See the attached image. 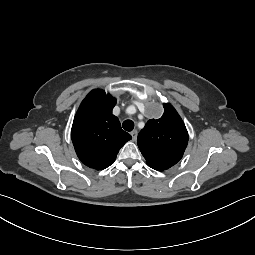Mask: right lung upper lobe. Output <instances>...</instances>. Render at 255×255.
Returning a JSON list of instances; mask_svg holds the SVG:
<instances>
[{
	"label": "right lung upper lobe",
	"mask_w": 255,
	"mask_h": 255,
	"mask_svg": "<svg viewBox=\"0 0 255 255\" xmlns=\"http://www.w3.org/2000/svg\"><path fill=\"white\" fill-rule=\"evenodd\" d=\"M115 104V98L95 89L82 101L75 115L72 142L80 161L90 168L102 170L110 166L120 148L132 138L112 114Z\"/></svg>",
	"instance_id": "right-lung-upper-lobe-1"
}]
</instances>
